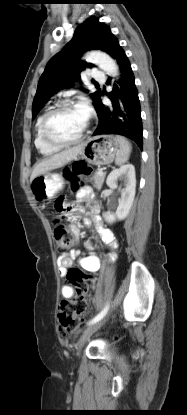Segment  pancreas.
<instances>
[{"instance_id": "cf45deb5", "label": "pancreas", "mask_w": 187, "mask_h": 415, "mask_svg": "<svg viewBox=\"0 0 187 415\" xmlns=\"http://www.w3.org/2000/svg\"><path fill=\"white\" fill-rule=\"evenodd\" d=\"M106 173L103 174H99L98 171H95L91 180H94V186L100 190L102 188V185L104 183V179H105Z\"/></svg>"}]
</instances>
